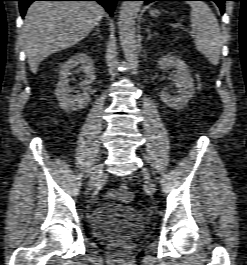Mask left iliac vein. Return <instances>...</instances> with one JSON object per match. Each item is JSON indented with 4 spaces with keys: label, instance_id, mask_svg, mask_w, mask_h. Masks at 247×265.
I'll use <instances>...</instances> for the list:
<instances>
[{
    "label": "left iliac vein",
    "instance_id": "1",
    "mask_svg": "<svg viewBox=\"0 0 247 265\" xmlns=\"http://www.w3.org/2000/svg\"><path fill=\"white\" fill-rule=\"evenodd\" d=\"M142 172H143L144 178L147 180V183L150 186H153V184L151 183L150 174H149L148 170L146 168H142Z\"/></svg>",
    "mask_w": 247,
    "mask_h": 265
}]
</instances>
